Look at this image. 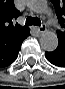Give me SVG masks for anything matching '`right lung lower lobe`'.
Returning a JSON list of instances; mask_svg holds the SVG:
<instances>
[{"instance_id": "obj_1", "label": "right lung lower lobe", "mask_w": 65, "mask_h": 89, "mask_svg": "<svg viewBox=\"0 0 65 89\" xmlns=\"http://www.w3.org/2000/svg\"><path fill=\"white\" fill-rule=\"evenodd\" d=\"M30 35L26 33L16 39L0 42V68L13 63L21 49L22 42Z\"/></svg>"}]
</instances>
